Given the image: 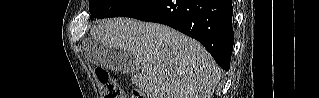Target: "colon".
<instances>
[{
  "label": "colon",
  "mask_w": 319,
  "mask_h": 98,
  "mask_svg": "<svg viewBox=\"0 0 319 98\" xmlns=\"http://www.w3.org/2000/svg\"><path fill=\"white\" fill-rule=\"evenodd\" d=\"M95 75L102 86L104 98H127L117 80L105 69L97 68ZM132 98H144V94L141 91H135Z\"/></svg>",
  "instance_id": "1"
}]
</instances>
